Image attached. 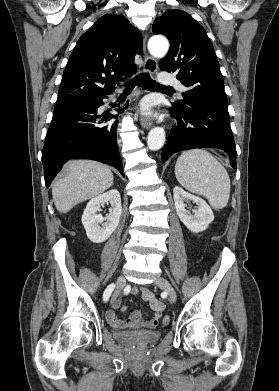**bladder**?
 I'll use <instances>...</instances> for the list:
<instances>
[{
    "mask_svg": "<svg viewBox=\"0 0 279 391\" xmlns=\"http://www.w3.org/2000/svg\"><path fill=\"white\" fill-rule=\"evenodd\" d=\"M115 338L121 343L132 347H144L156 342L160 336V331L151 330H127L114 332Z\"/></svg>",
    "mask_w": 279,
    "mask_h": 391,
    "instance_id": "obj_1",
    "label": "bladder"
}]
</instances>
